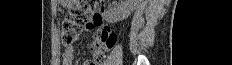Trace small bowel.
Wrapping results in <instances>:
<instances>
[{"label":"small bowel","mask_w":232,"mask_h":65,"mask_svg":"<svg viewBox=\"0 0 232 65\" xmlns=\"http://www.w3.org/2000/svg\"><path fill=\"white\" fill-rule=\"evenodd\" d=\"M87 30L97 29L96 36L106 38L112 32L110 28L104 26V20L101 13H94L91 19L86 23ZM75 57V49L72 46L67 47L63 52L62 64L72 65ZM83 65H104V62L87 61Z\"/></svg>","instance_id":"c3829d8e"}]
</instances>
